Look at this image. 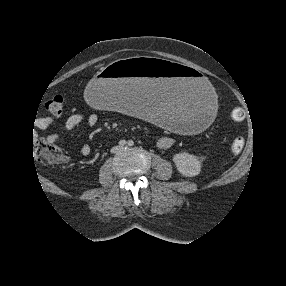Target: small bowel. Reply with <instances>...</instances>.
<instances>
[{
    "label": "small bowel",
    "instance_id": "obj_1",
    "mask_svg": "<svg viewBox=\"0 0 286 286\" xmlns=\"http://www.w3.org/2000/svg\"><path fill=\"white\" fill-rule=\"evenodd\" d=\"M53 122L54 121L52 118H49V117L42 118L39 121L38 128L41 130H44L48 126L53 124ZM83 122H87L90 125H94L97 122V117L95 115H89L87 117H83V116H80L77 114L71 115L66 119L65 127L67 129H72V128L78 126L79 124H81ZM52 138L54 140H57V141H62V142L66 141V138L63 136H60V135H54V136H52ZM173 144H174V138L172 136H164V137L160 138L158 141V147L161 149H168ZM81 153L84 156H88L91 153V147L88 144H82Z\"/></svg>",
    "mask_w": 286,
    "mask_h": 286
}]
</instances>
